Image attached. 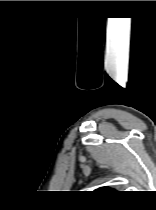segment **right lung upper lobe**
<instances>
[{
	"mask_svg": "<svg viewBox=\"0 0 156 210\" xmlns=\"http://www.w3.org/2000/svg\"><path fill=\"white\" fill-rule=\"evenodd\" d=\"M98 191H112L111 189H109L108 187H103L98 189Z\"/></svg>",
	"mask_w": 156,
	"mask_h": 210,
	"instance_id": "1",
	"label": "right lung upper lobe"
}]
</instances>
